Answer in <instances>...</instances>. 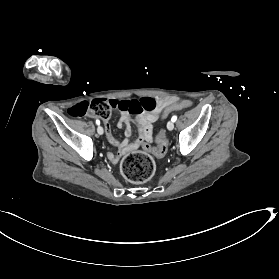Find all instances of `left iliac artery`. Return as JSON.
<instances>
[{
	"label": "left iliac artery",
	"mask_w": 279,
	"mask_h": 279,
	"mask_svg": "<svg viewBox=\"0 0 279 279\" xmlns=\"http://www.w3.org/2000/svg\"><path fill=\"white\" fill-rule=\"evenodd\" d=\"M171 120H172L173 122H175V121L177 120V116L174 115V116L171 118Z\"/></svg>",
	"instance_id": "44dca946"
}]
</instances>
